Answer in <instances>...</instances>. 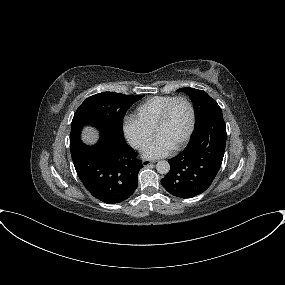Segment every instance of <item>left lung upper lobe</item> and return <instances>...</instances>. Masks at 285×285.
I'll return each instance as SVG.
<instances>
[{
	"instance_id": "obj_1",
	"label": "left lung upper lobe",
	"mask_w": 285,
	"mask_h": 285,
	"mask_svg": "<svg viewBox=\"0 0 285 285\" xmlns=\"http://www.w3.org/2000/svg\"><path fill=\"white\" fill-rule=\"evenodd\" d=\"M177 91L186 93L195 109V128L197 131L210 117L214 115H222L221 108L215 100H213L206 92L194 88H180Z\"/></svg>"
}]
</instances>
